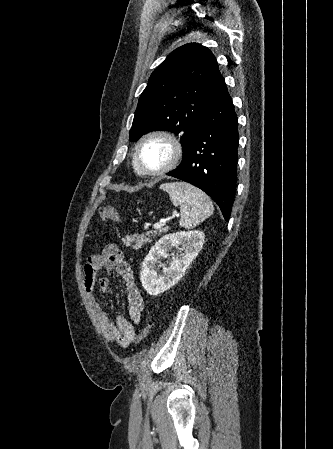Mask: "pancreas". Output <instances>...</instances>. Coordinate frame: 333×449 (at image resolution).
<instances>
[{"label":"pancreas","instance_id":"1","mask_svg":"<svg viewBox=\"0 0 333 449\" xmlns=\"http://www.w3.org/2000/svg\"><path fill=\"white\" fill-rule=\"evenodd\" d=\"M165 231H167V228H162L159 230V232ZM157 234V231H148L146 233L135 234L133 236H126L124 243L126 246H131L133 249L138 250L148 242H151V237H155Z\"/></svg>","mask_w":333,"mask_h":449}]
</instances>
